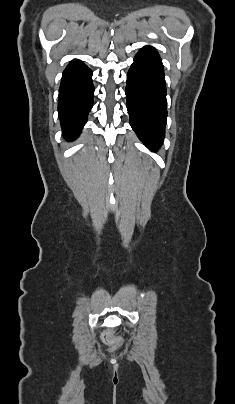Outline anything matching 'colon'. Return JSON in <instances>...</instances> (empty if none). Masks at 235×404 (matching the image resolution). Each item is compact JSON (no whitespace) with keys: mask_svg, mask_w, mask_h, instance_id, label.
I'll return each instance as SVG.
<instances>
[{"mask_svg":"<svg viewBox=\"0 0 235 404\" xmlns=\"http://www.w3.org/2000/svg\"><path fill=\"white\" fill-rule=\"evenodd\" d=\"M103 341L109 345H118L119 344V341L112 335L111 332L104 333Z\"/></svg>","mask_w":235,"mask_h":404,"instance_id":"5ec220e1","label":"colon"}]
</instances>
